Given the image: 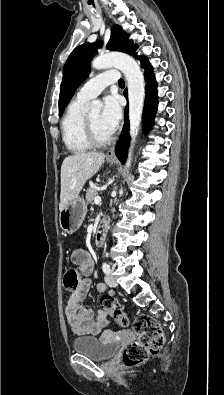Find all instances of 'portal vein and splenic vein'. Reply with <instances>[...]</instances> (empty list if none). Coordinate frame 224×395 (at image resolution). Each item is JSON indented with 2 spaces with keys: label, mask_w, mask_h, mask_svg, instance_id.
I'll return each instance as SVG.
<instances>
[{
  "label": "portal vein and splenic vein",
  "mask_w": 224,
  "mask_h": 395,
  "mask_svg": "<svg viewBox=\"0 0 224 395\" xmlns=\"http://www.w3.org/2000/svg\"><path fill=\"white\" fill-rule=\"evenodd\" d=\"M101 202V198L99 196L94 198V203L99 204Z\"/></svg>",
  "instance_id": "1"
}]
</instances>
